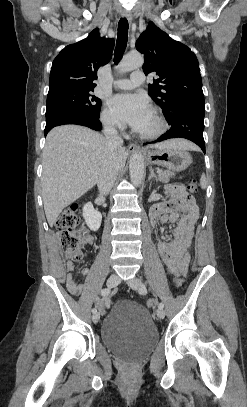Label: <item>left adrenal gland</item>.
<instances>
[{"mask_svg": "<svg viewBox=\"0 0 247 407\" xmlns=\"http://www.w3.org/2000/svg\"><path fill=\"white\" fill-rule=\"evenodd\" d=\"M151 178H155L157 180V176L155 175L153 169L150 168V177H149V179H151Z\"/></svg>", "mask_w": 247, "mask_h": 407, "instance_id": "a2214340", "label": "left adrenal gland"}]
</instances>
